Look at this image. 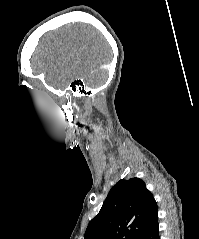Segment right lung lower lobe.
<instances>
[{
    "mask_svg": "<svg viewBox=\"0 0 199 239\" xmlns=\"http://www.w3.org/2000/svg\"><path fill=\"white\" fill-rule=\"evenodd\" d=\"M158 218L154 220L140 235L137 239H160L159 237V226Z\"/></svg>",
    "mask_w": 199,
    "mask_h": 239,
    "instance_id": "obj_1",
    "label": "right lung lower lobe"
}]
</instances>
